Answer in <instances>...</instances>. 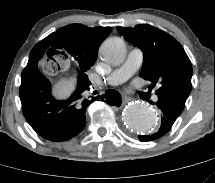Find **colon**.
Here are the masks:
<instances>
[{
	"instance_id": "obj_1",
	"label": "colon",
	"mask_w": 215,
	"mask_h": 183,
	"mask_svg": "<svg viewBox=\"0 0 215 183\" xmlns=\"http://www.w3.org/2000/svg\"><path fill=\"white\" fill-rule=\"evenodd\" d=\"M49 65L52 68H57L60 66V60L58 58L52 59L49 61Z\"/></svg>"
}]
</instances>
